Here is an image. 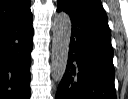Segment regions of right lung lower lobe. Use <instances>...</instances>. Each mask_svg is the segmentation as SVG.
<instances>
[{
	"label": "right lung lower lobe",
	"mask_w": 128,
	"mask_h": 99,
	"mask_svg": "<svg viewBox=\"0 0 128 99\" xmlns=\"http://www.w3.org/2000/svg\"><path fill=\"white\" fill-rule=\"evenodd\" d=\"M31 10L0 29V99H30Z\"/></svg>",
	"instance_id": "98d812e1"
}]
</instances>
